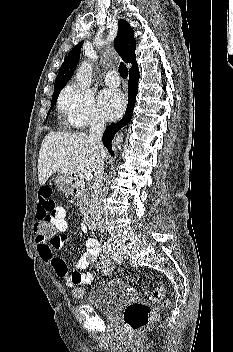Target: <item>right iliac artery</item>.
<instances>
[{
    "label": "right iliac artery",
    "mask_w": 233,
    "mask_h": 352,
    "mask_svg": "<svg viewBox=\"0 0 233 352\" xmlns=\"http://www.w3.org/2000/svg\"><path fill=\"white\" fill-rule=\"evenodd\" d=\"M103 252L106 255H109L111 253V246H105L104 249H103Z\"/></svg>",
    "instance_id": "1"
}]
</instances>
